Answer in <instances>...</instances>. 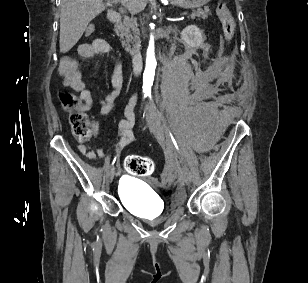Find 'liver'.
Returning <instances> with one entry per match:
<instances>
[{
  "instance_id": "1",
  "label": "liver",
  "mask_w": 308,
  "mask_h": 283,
  "mask_svg": "<svg viewBox=\"0 0 308 283\" xmlns=\"http://www.w3.org/2000/svg\"><path fill=\"white\" fill-rule=\"evenodd\" d=\"M108 1L121 3L127 8L134 5L138 11L147 4V0ZM60 7V52L66 53L79 41L88 24L101 14L106 6L103 0H62Z\"/></svg>"
}]
</instances>
